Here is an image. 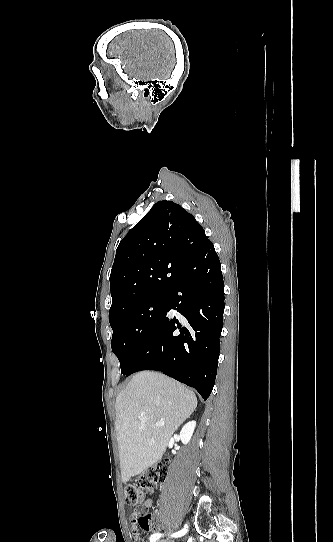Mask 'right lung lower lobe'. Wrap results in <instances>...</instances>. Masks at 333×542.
Masks as SVG:
<instances>
[{
	"label": "right lung lower lobe",
	"instance_id": "right-lung-lower-lobe-1",
	"mask_svg": "<svg viewBox=\"0 0 333 542\" xmlns=\"http://www.w3.org/2000/svg\"><path fill=\"white\" fill-rule=\"evenodd\" d=\"M182 279L168 293V311L158 323L129 372L157 370L194 387L205 400L217 373L224 313V283L213 244L205 242L180 252Z\"/></svg>",
	"mask_w": 333,
	"mask_h": 542
}]
</instances>
